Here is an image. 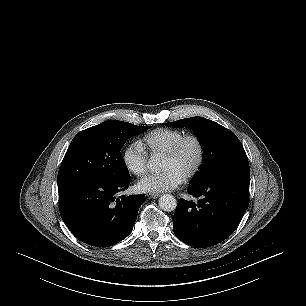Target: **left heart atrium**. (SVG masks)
Listing matches in <instances>:
<instances>
[{
    "label": "left heart atrium",
    "instance_id": "1",
    "mask_svg": "<svg viewBox=\"0 0 306 306\" xmlns=\"http://www.w3.org/2000/svg\"><path fill=\"white\" fill-rule=\"evenodd\" d=\"M184 178L173 169H166L160 173L149 174L137 183L142 192L157 193L169 191L179 186Z\"/></svg>",
    "mask_w": 306,
    "mask_h": 306
}]
</instances>
